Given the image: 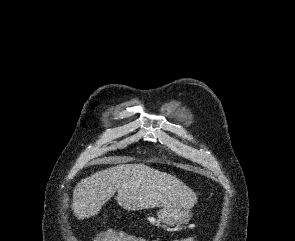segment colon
<instances>
[{"instance_id":"colon-1","label":"colon","mask_w":295,"mask_h":241,"mask_svg":"<svg viewBox=\"0 0 295 241\" xmlns=\"http://www.w3.org/2000/svg\"><path fill=\"white\" fill-rule=\"evenodd\" d=\"M130 237L134 236L124 232L107 230L100 232L95 241H130Z\"/></svg>"}]
</instances>
